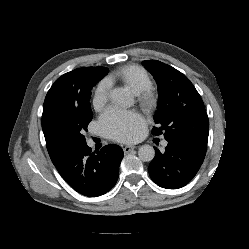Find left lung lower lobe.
<instances>
[{"label": "left lung lower lobe", "instance_id": "obj_1", "mask_svg": "<svg viewBox=\"0 0 249 249\" xmlns=\"http://www.w3.org/2000/svg\"><path fill=\"white\" fill-rule=\"evenodd\" d=\"M205 154L206 148L168 141L164 153L155 148V157L148 167V172L151 179L160 187L178 189L194 178Z\"/></svg>", "mask_w": 249, "mask_h": 249}]
</instances>
